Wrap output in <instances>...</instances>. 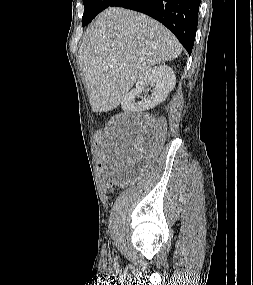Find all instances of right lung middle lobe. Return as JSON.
<instances>
[{
    "mask_svg": "<svg viewBox=\"0 0 253 285\" xmlns=\"http://www.w3.org/2000/svg\"><path fill=\"white\" fill-rule=\"evenodd\" d=\"M115 0H83L85 11L82 17V26L90 23L95 16L109 7Z\"/></svg>",
    "mask_w": 253,
    "mask_h": 285,
    "instance_id": "obj_1",
    "label": "right lung middle lobe"
}]
</instances>
